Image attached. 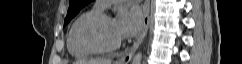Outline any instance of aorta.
<instances>
[{
    "label": "aorta",
    "instance_id": "aorta-1",
    "mask_svg": "<svg viewBox=\"0 0 242 64\" xmlns=\"http://www.w3.org/2000/svg\"><path fill=\"white\" fill-rule=\"evenodd\" d=\"M142 61V52L136 53V55L133 57L131 64H141Z\"/></svg>",
    "mask_w": 242,
    "mask_h": 64
}]
</instances>
